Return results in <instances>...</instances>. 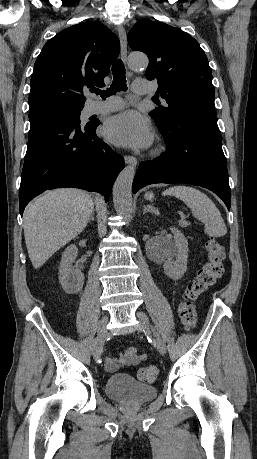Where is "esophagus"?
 Instances as JSON below:
<instances>
[{
  "mask_svg": "<svg viewBox=\"0 0 257 459\" xmlns=\"http://www.w3.org/2000/svg\"><path fill=\"white\" fill-rule=\"evenodd\" d=\"M118 35H119L120 45H121V57L123 61L126 62L127 60V37H126V32L123 26H119ZM124 160L126 164H130L133 166L137 164V159L134 156L126 155L124 157Z\"/></svg>",
  "mask_w": 257,
  "mask_h": 459,
  "instance_id": "obj_1",
  "label": "esophagus"
}]
</instances>
